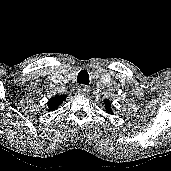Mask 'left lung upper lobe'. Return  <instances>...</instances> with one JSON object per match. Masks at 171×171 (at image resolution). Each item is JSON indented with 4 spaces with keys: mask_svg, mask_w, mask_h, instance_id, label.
I'll return each mask as SVG.
<instances>
[{
    "mask_svg": "<svg viewBox=\"0 0 171 171\" xmlns=\"http://www.w3.org/2000/svg\"><path fill=\"white\" fill-rule=\"evenodd\" d=\"M105 107H106L108 113H112L111 104L109 102H105Z\"/></svg>",
    "mask_w": 171,
    "mask_h": 171,
    "instance_id": "1",
    "label": "left lung upper lobe"
}]
</instances>
